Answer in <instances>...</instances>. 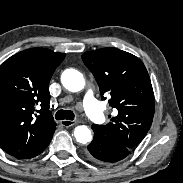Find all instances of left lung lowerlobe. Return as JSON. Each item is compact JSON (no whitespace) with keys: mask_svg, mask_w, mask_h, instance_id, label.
I'll return each mask as SVG.
<instances>
[{"mask_svg":"<svg viewBox=\"0 0 183 183\" xmlns=\"http://www.w3.org/2000/svg\"><path fill=\"white\" fill-rule=\"evenodd\" d=\"M94 131L93 141L87 146L88 158L102 164L115 163L124 159L131 151L128 147L121 145L102 134L97 128Z\"/></svg>","mask_w":183,"mask_h":183,"instance_id":"0a47b994","label":"left lung lower lobe"}]
</instances>
